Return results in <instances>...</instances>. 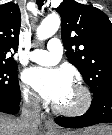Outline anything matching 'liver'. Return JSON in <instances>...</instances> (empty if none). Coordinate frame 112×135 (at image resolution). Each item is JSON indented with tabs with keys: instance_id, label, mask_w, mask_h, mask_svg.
Instances as JSON below:
<instances>
[{
	"instance_id": "1",
	"label": "liver",
	"mask_w": 112,
	"mask_h": 135,
	"mask_svg": "<svg viewBox=\"0 0 112 135\" xmlns=\"http://www.w3.org/2000/svg\"><path fill=\"white\" fill-rule=\"evenodd\" d=\"M22 129L19 126V120L0 113V135H22ZM37 130L35 135H38Z\"/></svg>"
}]
</instances>
